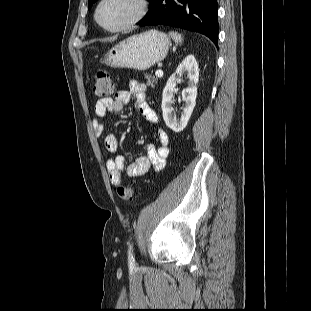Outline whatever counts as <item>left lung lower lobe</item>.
I'll use <instances>...</instances> for the list:
<instances>
[{"label": "left lung lower lobe", "mask_w": 311, "mask_h": 311, "mask_svg": "<svg viewBox=\"0 0 311 311\" xmlns=\"http://www.w3.org/2000/svg\"><path fill=\"white\" fill-rule=\"evenodd\" d=\"M139 26L168 25L204 34L218 45L217 0H148Z\"/></svg>", "instance_id": "1"}]
</instances>
